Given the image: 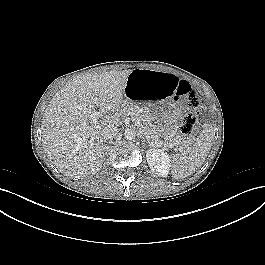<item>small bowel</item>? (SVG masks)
<instances>
[{"mask_svg": "<svg viewBox=\"0 0 265 265\" xmlns=\"http://www.w3.org/2000/svg\"><path fill=\"white\" fill-rule=\"evenodd\" d=\"M181 109H183V106H182V104L180 103V104H179V110H181ZM179 110L176 111V114H179Z\"/></svg>", "mask_w": 265, "mask_h": 265, "instance_id": "c3829d8e", "label": "small bowel"}]
</instances>
